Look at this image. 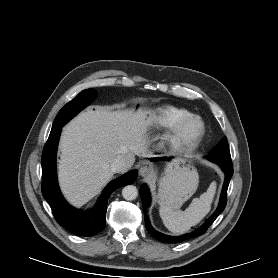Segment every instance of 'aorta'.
I'll return each mask as SVG.
<instances>
[{"label":"aorta","instance_id":"1","mask_svg":"<svg viewBox=\"0 0 278 278\" xmlns=\"http://www.w3.org/2000/svg\"><path fill=\"white\" fill-rule=\"evenodd\" d=\"M122 196L125 200L131 201L137 198L138 190L133 185H127L122 190Z\"/></svg>","mask_w":278,"mask_h":278}]
</instances>
